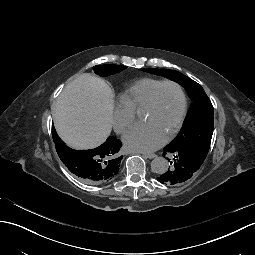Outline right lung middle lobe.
<instances>
[{"mask_svg":"<svg viewBox=\"0 0 255 255\" xmlns=\"http://www.w3.org/2000/svg\"><path fill=\"white\" fill-rule=\"evenodd\" d=\"M126 67L121 65H115V64H105V65H97L94 66V71L96 74L106 77L110 74L118 73L122 70H124Z\"/></svg>","mask_w":255,"mask_h":255,"instance_id":"obj_1","label":"right lung middle lobe"}]
</instances>
